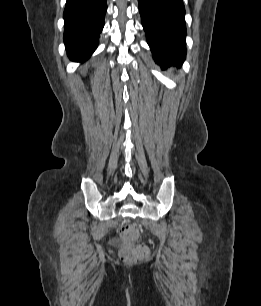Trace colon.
Masks as SVG:
<instances>
[{"label":"colon","instance_id":"colon-1","mask_svg":"<svg viewBox=\"0 0 261 306\" xmlns=\"http://www.w3.org/2000/svg\"><path fill=\"white\" fill-rule=\"evenodd\" d=\"M137 229L132 225H127L120 230V237L123 244L120 248V256L128 261H140L147 256V249L135 242Z\"/></svg>","mask_w":261,"mask_h":306}]
</instances>
